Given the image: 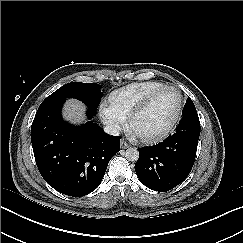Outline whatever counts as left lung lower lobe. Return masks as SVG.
<instances>
[{"mask_svg": "<svg viewBox=\"0 0 243 243\" xmlns=\"http://www.w3.org/2000/svg\"><path fill=\"white\" fill-rule=\"evenodd\" d=\"M200 136L199 117L182 118L176 133L151 147L139 148L135 171L148 188L166 192L179 185L190 173Z\"/></svg>", "mask_w": 243, "mask_h": 243, "instance_id": "left-lung-lower-lobe-1", "label": "left lung lower lobe"}]
</instances>
